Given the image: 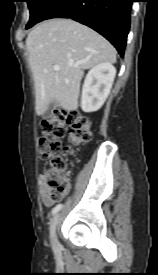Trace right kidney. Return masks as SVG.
<instances>
[{
  "label": "right kidney",
  "mask_w": 158,
  "mask_h": 275,
  "mask_svg": "<svg viewBox=\"0 0 158 275\" xmlns=\"http://www.w3.org/2000/svg\"><path fill=\"white\" fill-rule=\"evenodd\" d=\"M115 75L116 68L109 62L99 63L88 72L81 95V108L84 112H95L102 107L110 93Z\"/></svg>",
  "instance_id": "ca27d5eb"
}]
</instances>
